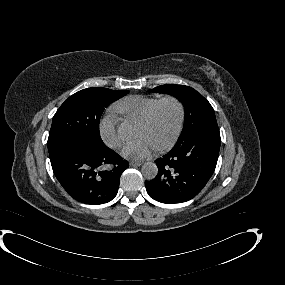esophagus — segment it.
<instances>
[{
  "mask_svg": "<svg viewBox=\"0 0 285 285\" xmlns=\"http://www.w3.org/2000/svg\"><path fill=\"white\" fill-rule=\"evenodd\" d=\"M143 164V161H130L129 165L134 167V166H140Z\"/></svg>",
  "mask_w": 285,
  "mask_h": 285,
  "instance_id": "1",
  "label": "esophagus"
}]
</instances>
